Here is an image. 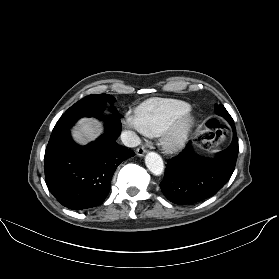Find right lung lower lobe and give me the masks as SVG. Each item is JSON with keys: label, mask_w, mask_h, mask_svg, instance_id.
Here are the masks:
<instances>
[{"label": "right lung lower lobe", "mask_w": 279, "mask_h": 279, "mask_svg": "<svg viewBox=\"0 0 279 279\" xmlns=\"http://www.w3.org/2000/svg\"><path fill=\"white\" fill-rule=\"evenodd\" d=\"M105 127L104 135L86 146L72 140L71 125L52 131L44 157L45 180L54 197L69 209L100 205L118 165L135 155L116 143L121 132L117 114L110 116Z\"/></svg>", "instance_id": "right-lung-lower-lobe-1"}]
</instances>
